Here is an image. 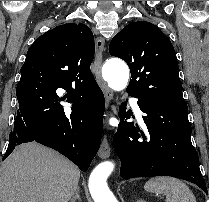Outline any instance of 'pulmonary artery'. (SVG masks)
Returning a JSON list of instances; mask_svg holds the SVG:
<instances>
[{"instance_id":"pulmonary-artery-1","label":"pulmonary artery","mask_w":209,"mask_h":202,"mask_svg":"<svg viewBox=\"0 0 209 202\" xmlns=\"http://www.w3.org/2000/svg\"><path fill=\"white\" fill-rule=\"evenodd\" d=\"M131 106H132L134 112L140 116V114H141L140 104L137 102V100L133 99L131 101Z\"/></svg>"}]
</instances>
